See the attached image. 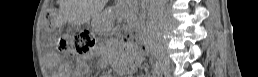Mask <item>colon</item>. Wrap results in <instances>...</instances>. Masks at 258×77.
<instances>
[{"instance_id":"5ec220e1","label":"colon","mask_w":258,"mask_h":77,"mask_svg":"<svg viewBox=\"0 0 258 77\" xmlns=\"http://www.w3.org/2000/svg\"><path fill=\"white\" fill-rule=\"evenodd\" d=\"M45 29L47 31H52L53 29V12L48 10L45 17L44 23ZM95 43L94 35L88 30H79L75 32L70 39L62 40L61 47L62 49L72 50L78 53L88 51ZM133 51L138 52L140 50L139 44H133Z\"/></svg>"}]
</instances>
